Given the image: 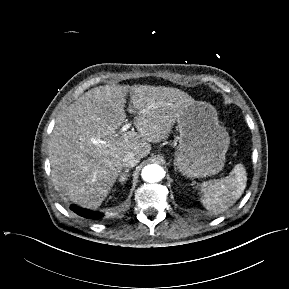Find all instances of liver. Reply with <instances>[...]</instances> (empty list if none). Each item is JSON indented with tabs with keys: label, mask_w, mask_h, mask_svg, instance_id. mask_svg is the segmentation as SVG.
<instances>
[{
	"label": "liver",
	"mask_w": 289,
	"mask_h": 289,
	"mask_svg": "<svg viewBox=\"0 0 289 289\" xmlns=\"http://www.w3.org/2000/svg\"><path fill=\"white\" fill-rule=\"evenodd\" d=\"M128 93L138 110V132L120 133ZM194 102L184 91L164 86L105 85L85 92L57 117L50 136L56 190L84 208H98L116 182L124 156H148L150 143L167 139L182 111Z\"/></svg>",
	"instance_id": "6515ba94"
}]
</instances>
